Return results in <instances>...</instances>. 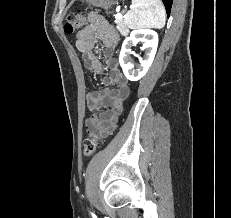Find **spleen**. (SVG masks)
Wrapping results in <instances>:
<instances>
[{
    "label": "spleen",
    "instance_id": "obj_1",
    "mask_svg": "<svg viewBox=\"0 0 231 218\" xmlns=\"http://www.w3.org/2000/svg\"><path fill=\"white\" fill-rule=\"evenodd\" d=\"M132 5L124 17V23L130 29L164 27L166 12L161 0H132Z\"/></svg>",
    "mask_w": 231,
    "mask_h": 218
}]
</instances>
